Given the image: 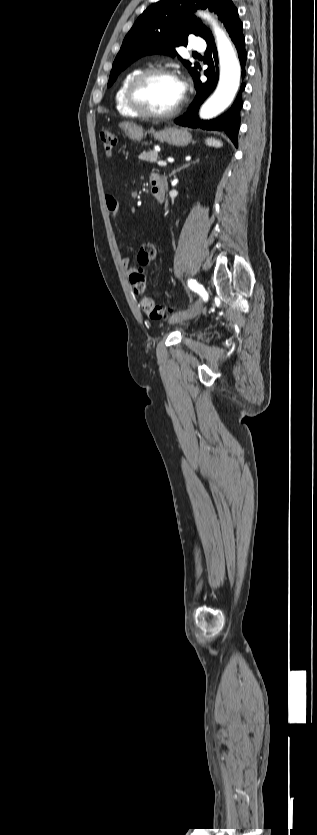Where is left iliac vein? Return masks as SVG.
<instances>
[{
    "instance_id": "1",
    "label": "left iliac vein",
    "mask_w": 317,
    "mask_h": 835,
    "mask_svg": "<svg viewBox=\"0 0 317 835\" xmlns=\"http://www.w3.org/2000/svg\"><path fill=\"white\" fill-rule=\"evenodd\" d=\"M203 306H204L203 305V300L201 298H199L192 308H190L188 310H185V311H180V312L174 313L170 317L169 322L174 324V323L187 321V320H190L192 318H195L196 316H198L203 311Z\"/></svg>"
}]
</instances>
